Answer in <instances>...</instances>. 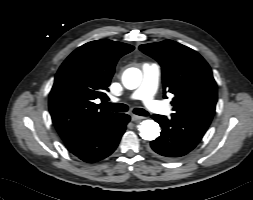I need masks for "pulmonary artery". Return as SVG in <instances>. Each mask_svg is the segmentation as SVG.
<instances>
[{"label": "pulmonary artery", "instance_id": "e3ab8cb5", "mask_svg": "<svg viewBox=\"0 0 253 200\" xmlns=\"http://www.w3.org/2000/svg\"><path fill=\"white\" fill-rule=\"evenodd\" d=\"M143 80L140 87L130 96L131 99L141 100L145 106L156 113L170 114V109L155 99L158 87L160 68L156 64L146 63L142 67ZM113 101H118L114 99Z\"/></svg>", "mask_w": 253, "mask_h": 200}]
</instances>
